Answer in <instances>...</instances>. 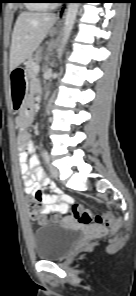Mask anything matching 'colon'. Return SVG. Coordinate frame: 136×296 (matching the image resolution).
<instances>
[{"mask_svg":"<svg viewBox=\"0 0 136 296\" xmlns=\"http://www.w3.org/2000/svg\"><path fill=\"white\" fill-rule=\"evenodd\" d=\"M26 209L29 214L33 217H36L41 224H46L49 221L57 222L59 220V217L56 215L53 216L50 220L42 217L40 215L41 203L36 198L26 201ZM68 212L83 225H89L93 223L100 227L114 229H117L119 227V224L115 221L111 213L107 212L103 214H93L91 210L77 202L70 203L68 207Z\"/></svg>","mask_w":136,"mask_h":296,"instance_id":"5ec220e1","label":"colon"}]
</instances>
